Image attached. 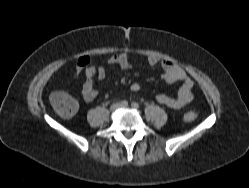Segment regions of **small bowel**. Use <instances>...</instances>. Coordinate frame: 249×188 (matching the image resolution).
<instances>
[{"label": "small bowel", "mask_w": 249, "mask_h": 188, "mask_svg": "<svg viewBox=\"0 0 249 188\" xmlns=\"http://www.w3.org/2000/svg\"><path fill=\"white\" fill-rule=\"evenodd\" d=\"M146 61L151 66H161V80L165 85L182 82L176 97L158 94L156 96L158 103L171 109H179L193 100L194 83L184 69L171 61L161 60L154 55H147ZM107 62L110 65H117L121 69H128L132 66V58L128 53L114 54L108 58ZM80 71H83L86 77L82 87L83 98L87 102H92L98 95L94 87V79H104L106 77V69L103 66H94L91 64L89 58L82 57L77 62V72L79 73ZM131 89L138 91L140 86L137 83H133Z\"/></svg>", "instance_id": "1"}]
</instances>
